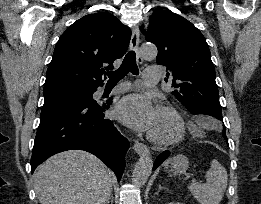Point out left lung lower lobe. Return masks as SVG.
Returning <instances> with one entry per match:
<instances>
[{
	"label": "left lung lower lobe",
	"mask_w": 261,
	"mask_h": 204,
	"mask_svg": "<svg viewBox=\"0 0 261 204\" xmlns=\"http://www.w3.org/2000/svg\"><path fill=\"white\" fill-rule=\"evenodd\" d=\"M208 126L219 130V128H218L215 124H213V123H209V122H208ZM219 131H220V130H219ZM222 135H223V137L227 140L225 131L222 132ZM169 155H170V151H164V152H162V153L156 158L155 163H154V166H153V170H155L158 166H160V165L164 162V160L169 157Z\"/></svg>",
	"instance_id": "0a47b994"
}]
</instances>
